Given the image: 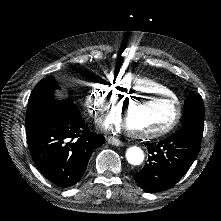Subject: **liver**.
<instances>
[{
  "mask_svg": "<svg viewBox=\"0 0 221 221\" xmlns=\"http://www.w3.org/2000/svg\"><path fill=\"white\" fill-rule=\"evenodd\" d=\"M60 89L66 90L67 88L65 86H63V85H58V88H56L55 90L58 91ZM59 94H61V93H59Z\"/></svg>",
  "mask_w": 221,
  "mask_h": 221,
  "instance_id": "6515ba94",
  "label": "liver"
}]
</instances>
